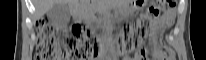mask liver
I'll return each instance as SVG.
<instances>
[{
	"instance_id": "6515ba94",
	"label": "liver",
	"mask_w": 206,
	"mask_h": 60,
	"mask_svg": "<svg viewBox=\"0 0 206 60\" xmlns=\"http://www.w3.org/2000/svg\"><path fill=\"white\" fill-rule=\"evenodd\" d=\"M62 1L66 3L71 2V0H33V4L35 7V19H39L45 13H47L54 5L59 4Z\"/></svg>"
}]
</instances>
